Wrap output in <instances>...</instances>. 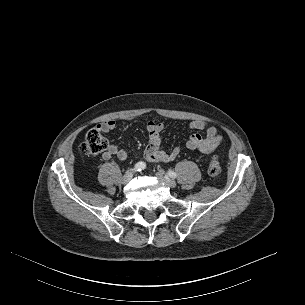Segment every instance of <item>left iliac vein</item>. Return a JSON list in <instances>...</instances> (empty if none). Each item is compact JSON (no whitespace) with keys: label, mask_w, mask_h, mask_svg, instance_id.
Masks as SVG:
<instances>
[{"label":"left iliac vein","mask_w":305,"mask_h":305,"mask_svg":"<svg viewBox=\"0 0 305 305\" xmlns=\"http://www.w3.org/2000/svg\"><path fill=\"white\" fill-rule=\"evenodd\" d=\"M155 176L162 181L163 183H165L169 188H175L176 187V182L170 178H166L164 177L163 172L159 171L155 174Z\"/></svg>","instance_id":"1"}]
</instances>
